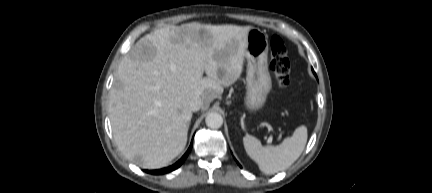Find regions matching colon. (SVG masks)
<instances>
[{"mask_svg":"<svg viewBox=\"0 0 432 193\" xmlns=\"http://www.w3.org/2000/svg\"><path fill=\"white\" fill-rule=\"evenodd\" d=\"M271 60L270 70L274 74L280 87H287L290 83L291 63L282 39L273 36L270 41Z\"/></svg>","mask_w":432,"mask_h":193,"instance_id":"5ec220e1","label":"colon"}]
</instances>
